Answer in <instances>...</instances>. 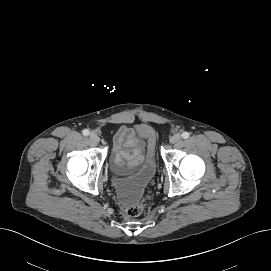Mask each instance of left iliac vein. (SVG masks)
I'll return each mask as SVG.
<instances>
[{
    "instance_id": "4c4485c4",
    "label": "left iliac vein",
    "mask_w": 271,
    "mask_h": 271,
    "mask_svg": "<svg viewBox=\"0 0 271 271\" xmlns=\"http://www.w3.org/2000/svg\"><path fill=\"white\" fill-rule=\"evenodd\" d=\"M181 140V135L180 134H174L173 136H171L170 138V143L172 144H176Z\"/></svg>"
}]
</instances>
